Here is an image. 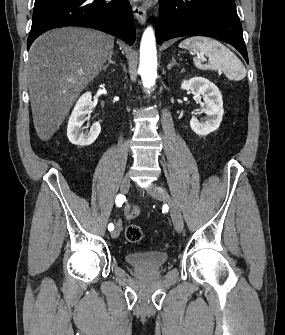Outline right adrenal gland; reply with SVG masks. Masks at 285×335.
<instances>
[{
    "mask_svg": "<svg viewBox=\"0 0 285 335\" xmlns=\"http://www.w3.org/2000/svg\"><path fill=\"white\" fill-rule=\"evenodd\" d=\"M113 56V52H111L110 56H109V60H107L108 64H106V66H104L103 70L104 72H106L107 68H109L110 64H115V62H113V60H111Z\"/></svg>",
    "mask_w": 285,
    "mask_h": 335,
    "instance_id": "2a0ac1e0",
    "label": "right adrenal gland"
}]
</instances>
